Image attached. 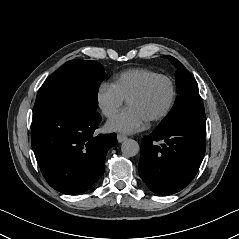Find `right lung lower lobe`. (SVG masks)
Listing matches in <instances>:
<instances>
[{
  "instance_id": "98d812e1",
  "label": "right lung lower lobe",
  "mask_w": 239,
  "mask_h": 239,
  "mask_svg": "<svg viewBox=\"0 0 239 239\" xmlns=\"http://www.w3.org/2000/svg\"><path fill=\"white\" fill-rule=\"evenodd\" d=\"M99 113L77 105L55 107L34 120L31 143L41 172L55 190L75 195L89 190L105 170L115 133L95 135Z\"/></svg>"
}]
</instances>
